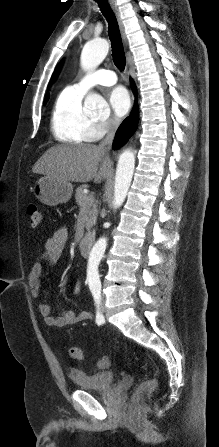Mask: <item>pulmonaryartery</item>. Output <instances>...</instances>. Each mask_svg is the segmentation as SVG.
<instances>
[{
    "label": "pulmonary artery",
    "mask_w": 219,
    "mask_h": 447,
    "mask_svg": "<svg viewBox=\"0 0 219 447\" xmlns=\"http://www.w3.org/2000/svg\"><path fill=\"white\" fill-rule=\"evenodd\" d=\"M117 82L116 74L110 70H100L94 74L86 75L77 83L70 86L81 94H85L95 85L111 86Z\"/></svg>",
    "instance_id": "1"
}]
</instances>
